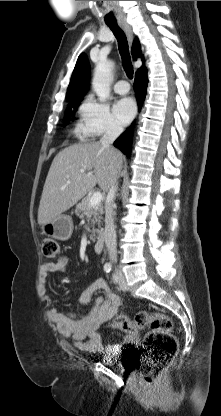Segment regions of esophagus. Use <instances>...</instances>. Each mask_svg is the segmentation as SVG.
<instances>
[{
    "label": "esophagus",
    "instance_id": "1",
    "mask_svg": "<svg viewBox=\"0 0 221 416\" xmlns=\"http://www.w3.org/2000/svg\"><path fill=\"white\" fill-rule=\"evenodd\" d=\"M121 25H122V27H123L126 35H127V38L129 40V42H132V40H133V33H132L131 26L126 21L121 22Z\"/></svg>",
    "mask_w": 221,
    "mask_h": 416
}]
</instances>
